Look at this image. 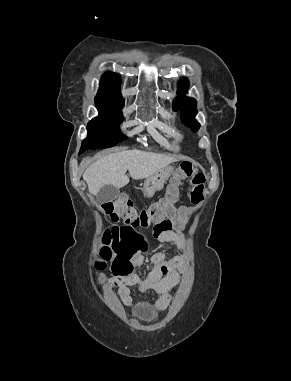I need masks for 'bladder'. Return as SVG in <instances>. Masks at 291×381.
Returning <instances> with one entry per match:
<instances>
[{"mask_svg":"<svg viewBox=\"0 0 291 381\" xmlns=\"http://www.w3.org/2000/svg\"><path fill=\"white\" fill-rule=\"evenodd\" d=\"M132 315L141 321H152L156 318L155 314L149 313L142 307H134Z\"/></svg>","mask_w":291,"mask_h":381,"instance_id":"1","label":"bladder"}]
</instances>
